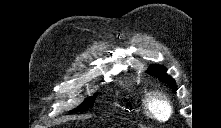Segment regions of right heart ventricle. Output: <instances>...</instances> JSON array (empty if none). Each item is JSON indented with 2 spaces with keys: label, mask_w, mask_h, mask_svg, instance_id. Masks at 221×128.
Here are the masks:
<instances>
[{
  "label": "right heart ventricle",
  "mask_w": 221,
  "mask_h": 128,
  "mask_svg": "<svg viewBox=\"0 0 221 128\" xmlns=\"http://www.w3.org/2000/svg\"><path fill=\"white\" fill-rule=\"evenodd\" d=\"M141 107V102H139V104L137 105V108H140Z\"/></svg>",
  "instance_id": "e07e8e85"
}]
</instances>
